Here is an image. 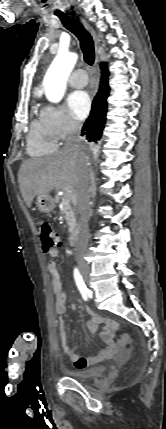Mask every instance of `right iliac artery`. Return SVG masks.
<instances>
[{
	"label": "right iliac artery",
	"instance_id": "82829eb1",
	"mask_svg": "<svg viewBox=\"0 0 166 429\" xmlns=\"http://www.w3.org/2000/svg\"><path fill=\"white\" fill-rule=\"evenodd\" d=\"M74 279L80 293L82 294V297L84 298V300H87L88 289L83 282L82 276L80 275L78 268L74 269Z\"/></svg>",
	"mask_w": 166,
	"mask_h": 429
}]
</instances>
